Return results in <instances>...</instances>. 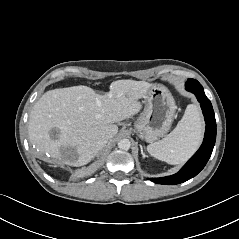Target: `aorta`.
<instances>
[{
    "label": "aorta",
    "instance_id": "aorta-1",
    "mask_svg": "<svg viewBox=\"0 0 239 239\" xmlns=\"http://www.w3.org/2000/svg\"><path fill=\"white\" fill-rule=\"evenodd\" d=\"M130 146H131V142L129 139H121L118 142V147L121 150H128L130 148Z\"/></svg>",
    "mask_w": 239,
    "mask_h": 239
}]
</instances>
